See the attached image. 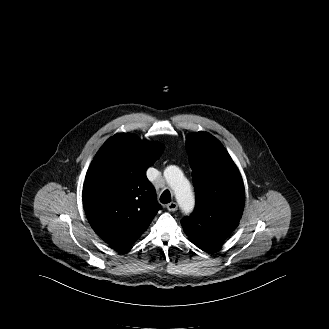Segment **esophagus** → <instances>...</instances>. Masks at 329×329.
<instances>
[{
	"mask_svg": "<svg viewBox=\"0 0 329 329\" xmlns=\"http://www.w3.org/2000/svg\"><path fill=\"white\" fill-rule=\"evenodd\" d=\"M167 209L170 211V212H174L178 209V205L176 202H171L169 204H167Z\"/></svg>",
	"mask_w": 329,
	"mask_h": 329,
	"instance_id": "obj_1",
	"label": "esophagus"
}]
</instances>
